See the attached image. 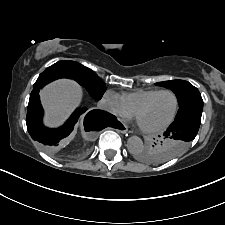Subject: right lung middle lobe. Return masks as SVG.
Wrapping results in <instances>:
<instances>
[{
	"instance_id": "dd1d6c3e",
	"label": "right lung middle lobe",
	"mask_w": 225,
	"mask_h": 225,
	"mask_svg": "<svg viewBox=\"0 0 225 225\" xmlns=\"http://www.w3.org/2000/svg\"><path fill=\"white\" fill-rule=\"evenodd\" d=\"M44 73H60L77 81L91 96L100 99L106 88L105 83L91 69L80 63L63 60L46 68Z\"/></svg>"
}]
</instances>
